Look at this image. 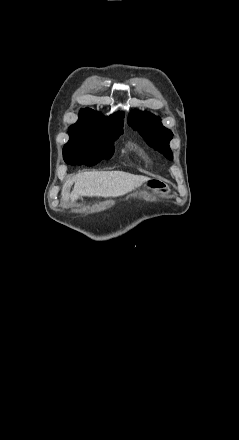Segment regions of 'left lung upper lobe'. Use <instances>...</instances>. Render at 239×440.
Instances as JSON below:
<instances>
[{"instance_id":"left-lung-upper-lobe-1","label":"left lung upper lobe","mask_w":239,"mask_h":440,"mask_svg":"<svg viewBox=\"0 0 239 440\" xmlns=\"http://www.w3.org/2000/svg\"><path fill=\"white\" fill-rule=\"evenodd\" d=\"M128 124L134 130L139 131L150 146L172 160L173 156L169 141L172 139L173 134L161 124L160 118L150 113L133 112L128 118Z\"/></svg>"}]
</instances>
